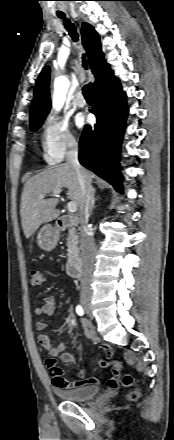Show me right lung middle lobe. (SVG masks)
<instances>
[{
	"instance_id": "1",
	"label": "right lung middle lobe",
	"mask_w": 174,
	"mask_h": 440,
	"mask_svg": "<svg viewBox=\"0 0 174 440\" xmlns=\"http://www.w3.org/2000/svg\"><path fill=\"white\" fill-rule=\"evenodd\" d=\"M43 121L44 120L38 121V122H35V123L31 124L30 125L31 130L35 131V130L39 129L41 127Z\"/></svg>"
}]
</instances>
